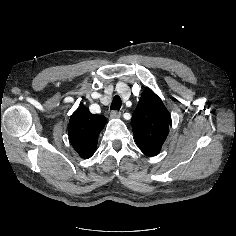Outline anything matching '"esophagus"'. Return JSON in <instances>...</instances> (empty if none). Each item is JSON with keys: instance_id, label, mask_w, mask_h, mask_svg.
<instances>
[{"instance_id": "obj_1", "label": "esophagus", "mask_w": 236, "mask_h": 236, "mask_svg": "<svg viewBox=\"0 0 236 236\" xmlns=\"http://www.w3.org/2000/svg\"><path fill=\"white\" fill-rule=\"evenodd\" d=\"M120 116H121V113L118 111H111L110 112V117L113 119H118V118H120Z\"/></svg>"}]
</instances>
